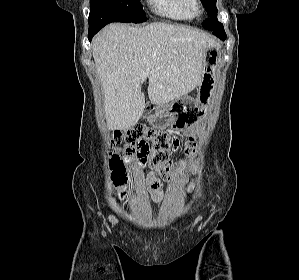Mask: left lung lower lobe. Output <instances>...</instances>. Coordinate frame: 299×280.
<instances>
[{
    "instance_id": "obj_1",
    "label": "left lung lower lobe",
    "mask_w": 299,
    "mask_h": 280,
    "mask_svg": "<svg viewBox=\"0 0 299 280\" xmlns=\"http://www.w3.org/2000/svg\"><path fill=\"white\" fill-rule=\"evenodd\" d=\"M213 34L222 40H225L227 37L225 32L216 31V32H213Z\"/></svg>"
}]
</instances>
